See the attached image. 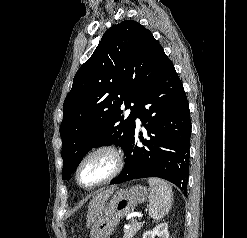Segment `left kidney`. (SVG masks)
I'll return each instance as SVG.
<instances>
[{
    "mask_svg": "<svg viewBox=\"0 0 247 238\" xmlns=\"http://www.w3.org/2000/svg\"><path fill=\"white\" fill-rule=\"evenodd\" d=\"M169 238L168 225L167 223H162L156 226L153 230L144 233L143 238Z\"/></svg>",
    "mask_w": 247,
    "mask_h": 238,
    "instance_id": "left-kidney-1",
    "label": "left kidney"
}]
</instances>
